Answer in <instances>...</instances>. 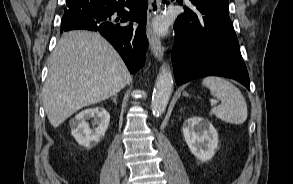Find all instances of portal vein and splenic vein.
I'll use <instances>...</instances> for the list:
<instances>
[{"mask_svg": "<svg viewBox=\"0 0 293 184\" xmlns=\"http://www.w3.org/2000/svg\"><path fill=\"white\" fill-rule=\"evenodd\" d=\"M217 104V101L216 100H211V105L214 106Z\"/></svg>", "mask_w": 293, "mask_h": 184, "instance_id": "obj_1", "label": "portal vein and splenic vein"}]
</instances>
